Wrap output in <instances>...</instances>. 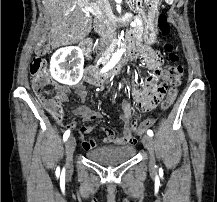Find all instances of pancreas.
<instances>
[{
	"instance_id": "obj_1",
	"label": "pancreas",
	"mask_w": 217,
	"mask_h": 202,
	"mask_svg": "<svg viewBox=\"0 0 217 202\" xmlns=\"http://www.w3.org/2000/svg\"><path fill=\"white\" fill-rule=\"evenodd\" d=\"M138 20H141V18H139V16H137ZM132 34H134L135 38H137V40H141L143 38L141 37H137V36H141V34H143V28H141V26H135V28H133V30H131Z\"/></svg>"
}]
</instances>
